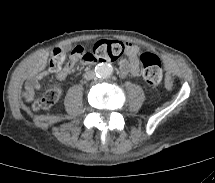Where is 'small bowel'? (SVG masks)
<instances>
[{
	"label": "small bowel",
	"mask_w": 215,
	"mask_h": 183,
	"mask_svg": "<svg viewBox=\"0 0 215 183\" xmlns=\"http://www.w3.org/2000/svg\"><path fill=\"white\" fill-rule=\"evenodd\" d=\"M126 51L129 56L128 59H123L119 63V74L121 77L127 75L136 76L139 73V65L136 59V54L138 48L135 45L127 44ZM77 63L70 57L67 65L58 72H54L58 78H64L76 65ZM50 71L45 70V65L43 60H39L34 66L32 73L28 77L25 88L24 95L27 100H31L36 91L41 88V80L47 76Z\"/></svg>",
	"instance_id": "small-bowel-1"
}]
</instances>
